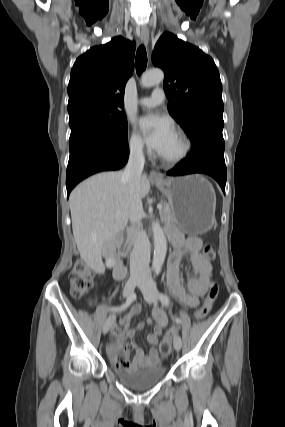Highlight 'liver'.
I'll return each instance as SVG.
<instances>
[{
    "label": "liver",
    "mask_w": 285,
    "mask_h": 427,
    "mask_svg": "<svg viewBox=\"0 0 285 427\" xmlns=\"http://www.w3.org/2000/svg\"><path fill=\"white\" fill-rule=\"evenodd\" d=\"M123 172L96 174L81 184L69 198L74 239L82 260L93 269L102 267V250L110 238L127 225L130 192ZM150 182L141 175L139 194L144 198Z\"/></svg>",
    "instance_id": "6515ba94"
}]
</instances>
